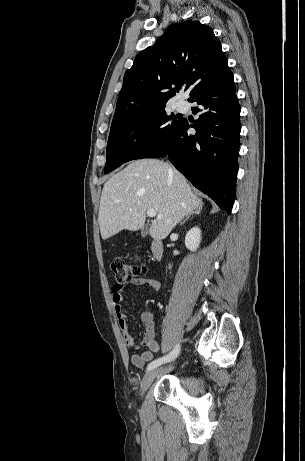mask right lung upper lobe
Returning a JSON list of instances; mask_svg holds the SVG:
<instances>
[{"label": "right lung upper lobe", "instance_id": "right-lung-upper-lobe-1", "mask_svg": "<svg viewBox=\"0 0 305 461\" xmlns=\"http://www.w3.org/2000/svg\"><path fill=\"white\" fill-rule=\"evenodd\" d=\"M231 73L212 29L199 21L171 26L157 42L135 58L125 73L112 125L162 106L184 84L192 99Z\"/></svg>", "mask_w": 305, "mask_h": 461}]
</instances>
